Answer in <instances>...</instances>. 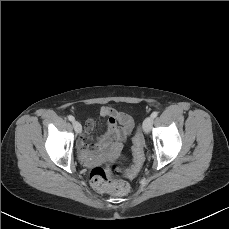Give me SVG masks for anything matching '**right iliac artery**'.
<instances>
[{
    "instance_id": "1",
    "label": "right iliac artery",
    "mask_w": 229,
    "mask_h": 229,
    "mask_svg": "<svg viewBox=\"0 0 229 229\" xmlns=\"http://www.w3.org/2000/svg\"><path fill=\"white\" fill-rule=\"evenodd\" d=\"M68 119H69L70 121H72V122L75 120V118H74L73 116H71V115L68 116Z\"/></svg>"
}]
</instances>
